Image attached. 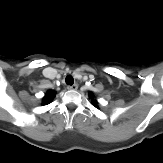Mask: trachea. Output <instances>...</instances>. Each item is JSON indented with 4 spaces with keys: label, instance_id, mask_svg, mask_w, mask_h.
<instances>
[{
    "label": "trachea",
    "instance_id": "trachea-1",
    "mask_svg": "<svg viewBox=\"0 0 163 163\" xmlns=\"http://www.w3.org/2000/svg\"><path fill=\"white\" fill-rule=\"evenodd\" d=\"M65 82H66L67 85H73L74 79H73V77L71 75H68L66 77V79H65Z\"/></svg>",
    "mask_w": 163,
    "mask_h": 163
}]
</instances>
